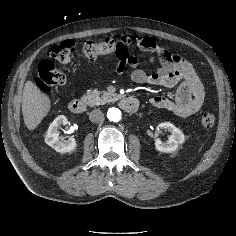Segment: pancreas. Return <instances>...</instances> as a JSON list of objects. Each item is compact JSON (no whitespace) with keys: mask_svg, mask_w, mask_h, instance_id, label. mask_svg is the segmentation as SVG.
<instances>
[{"mask_svg":"<svg viewBox=\"0 0 236 236\" xmlns=\"http://www.w3.org/2000/svg\"><path fill=\"white\" fill-rule=\"evenodd\" d=\"M116 95L107 91H99L97 89L88 90L82 99L87 101L89 106H95L100 104H105L107 102L114 101Z\"/></svg>","mask_w":236,"mask_h":236,"instance_id":"obj_1","label":"pancreas"}]
</instances>
